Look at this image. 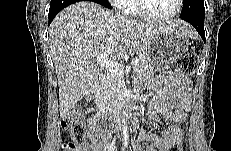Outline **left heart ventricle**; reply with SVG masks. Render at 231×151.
Listing matches in <instances>:
<instances>
[{
	"mask_svg": "<svg viewBox=\"0 0 231 151\" xmlns=\"http://www.w3.org/2000/svg\"><path fill=\"white\" fill-rule=\"evenodd\" d=\"M145 11L153 16H165L173 12L175 0H143Z\"/></svg>",
	"mask_w": 231,
	"mask_h": 151,
	"instance_id": "obj_1",
	"label": "left heart ventricle"
}]
</instances>
